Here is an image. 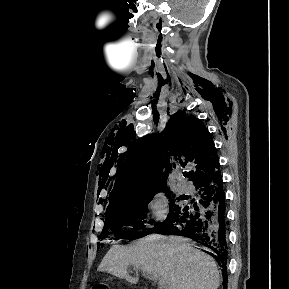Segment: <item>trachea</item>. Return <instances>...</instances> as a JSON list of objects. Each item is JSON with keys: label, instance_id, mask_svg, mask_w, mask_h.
Instances as JSON below:
<instances>
[{"label": "trachea", "instance_id": "3493384b", "mask_svg": "<svg viewBox=\"0 0 289 289\" xmlns=\"http://www.w3.org/2000/svg\"><path fill=\"white\" fill-rule=\"evenodd\" d=\"M183 175H184V176H187V173H186V172H184V173H183Z\"/></svg>", "mask_w": 289, "mask_h": 289}]
</instances>
